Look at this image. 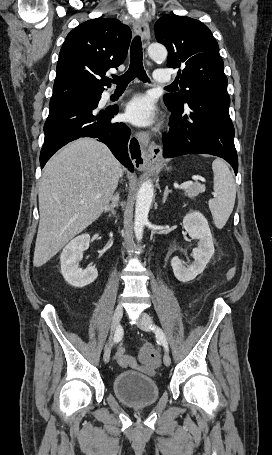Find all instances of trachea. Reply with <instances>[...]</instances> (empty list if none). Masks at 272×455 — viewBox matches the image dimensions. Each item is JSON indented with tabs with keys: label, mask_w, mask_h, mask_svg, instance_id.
Wrapping results in <instances>:
<instances>
[{
	"label": "trachea",
	"mask_w": 272,
	"mask_h": 455,
	"mask_svg": "<svg viewBox=\"0 0 272 455\" xmlns=\"http://www.w3.org/2000/svg\"><path fill=\"white\" fill-rule=\"evenodd\" d=\"M136 77L143 82H149L143 67L142 43L139 36H136L131 44L129 69L121 76L114 75L110 82L115 83L117 87H126Z\"/></svg>",
	"instance_id": "1"
}]
</instances>
